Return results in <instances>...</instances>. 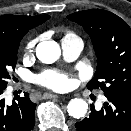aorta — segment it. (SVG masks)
I'll return each instance as SVG.
<instances>
[{
  "label": "aorta",
  "mask_w": 131,
  "mask_h": 131,
  "mask_svg": "<svg viewBox=\"0 0 131 131\" xmlns=\"http://www.w3.org/2000/svg\"><path fill=\"white\" fill-rule=\"evenodd\" d=\"M36 54L40 61L51 64L60 57L61 50L55 41H43L37 45ZM87 109V102L80 98L72 99L67 106L68 114L76 119L83 117Z\"/></svg>",
  "instance_id": "762f6f07"
}]
</instances>
